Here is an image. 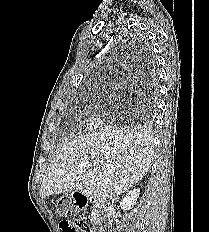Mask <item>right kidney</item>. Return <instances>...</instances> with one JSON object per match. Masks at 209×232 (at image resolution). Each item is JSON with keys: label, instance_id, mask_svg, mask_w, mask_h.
<instances>
[{"label": "right kidney", "instance_id": "obj_1", "mask_svg": "<svg viewBox=\"0 0 209 232\" xmlns=\"http://www.w3.org/2000/svg\"><path fill=\"white\" fill-rule=\"evenodd\" d=\"M140 194V189H133L120 202V207L124 210H130L136 203Z\"/></svg>", "mask_w": 209, "mask_h": 232}]
</instances>
